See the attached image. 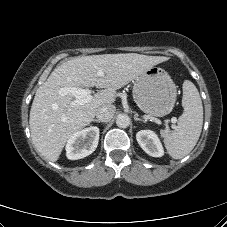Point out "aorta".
<instances>
[{
	"mask_svg": "<svg viewBox=\"0 0 227 227\" xmlns=\"http://www.w3.org/2000/svg\"><path fill=\"white\" fill-rule=\"evenodd\" d=\"M116 124L120 128H126L130 124V117L127 114H119L116 118Z\"/></svg>",
	"mask_w": 227,
	"mask_h": 227,
	"instance_id": "obj_1",
	"label": "aorta"
}]
</instances>
